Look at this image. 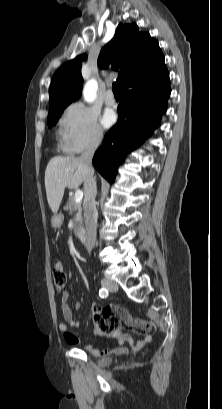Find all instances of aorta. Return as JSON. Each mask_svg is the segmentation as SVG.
I'll list each match as a JSON object with an SVG mask.
<instances>
[{"label":"aorta","mask_w":222,"mask_h":409,"mask_svg":"<svg viewBox=\"0 0 222 409\" xmlns=\"http://www.w3.org/2000/svg\"><path fill=\"white\" fill-rule=\"evenodd\" d=\"M96 89H97V82L94 80H90L86 83L83 96L85 101L92 102L96 98Z\"/></svg>","instance_id":"762f6f07"}]
</instances>
